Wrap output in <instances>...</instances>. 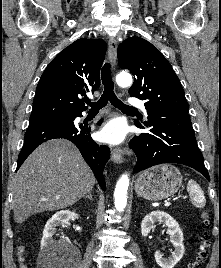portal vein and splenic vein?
<instances>
[{
    "label": "portal vein and splenic vein",
    "instance_id": "1",
    "mask_svg": "<svg viewBox=\"0 0 221 268\" xmlns=\"http://www.w3.org/2000/svg\"><path fill=\"white\" fill-rule=\"evenodd\" d=\"M170 205H171V202L169 200L165 202L166 207H169Z\"/></svg>",
    "mask_w": 221,
    "mask_h": 268
}]
</instances>
